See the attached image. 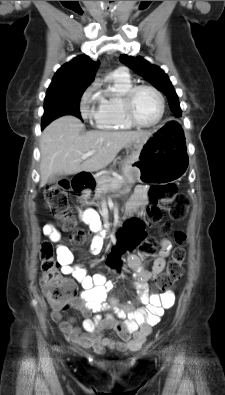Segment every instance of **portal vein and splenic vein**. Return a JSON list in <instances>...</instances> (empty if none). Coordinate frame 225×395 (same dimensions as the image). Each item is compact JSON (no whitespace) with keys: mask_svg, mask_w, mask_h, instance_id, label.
<instances>
[{"mask_svg":"<svg viewBox=\"0 0 225 395\" xmlns=\"http://www.w3.org/2000/svg\"><path fill=\"white\" fill-rule=\"evenodd\" d=\"M94 153H95V151H89V152L82 155V159H87L90 156H92ZM113 185L115 186L116 184L114 183Z\"/></svg>","mask_w":225,"mask_h":395,"instance_id":"portal-vein-and-splenic-vein-1","label":"portal vein and splenic vein"}]
</instances>
